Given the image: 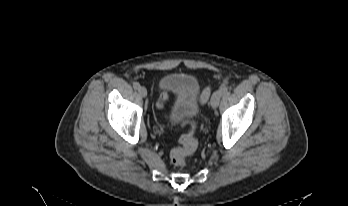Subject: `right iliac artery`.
I'll use <instances>...</instances> for the list:
<instances>
[{"instance_id":"right-iliac-artery-1","label":"right iliac artery","mask_w":348,"mask_h":206,"mask_svg":"<svg viewBox=\"0 0 348 206\" xmlns=\"http://www.w3.org/2000/svg\"><path fill=\"white\" fill-rule=\"evenodd\" d=\"M133 87H134V89H139L140 84L138 82H134Z\"/></svg>"}]
</instances>
